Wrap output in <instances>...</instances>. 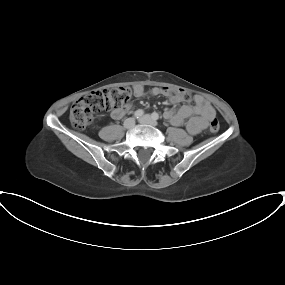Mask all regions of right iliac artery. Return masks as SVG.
<instances>
[{
	"mask_svg": "<svg viewBox=\"0 0 285 285\" xmlns=\"http://www.w3.org/2000/svg\"><path fill=\"white\" fill-rule=\"evenodd\" d=\"M143 114H144V111L139 109V110L135 111L134 117L135 118H140Z\"/></svg>",
	"mask_w": 285,
	"mask_h": 285,
	"instance_id": "right-iliac-artery-1",
	"label": "right iliac artery"
}]
</instances>
